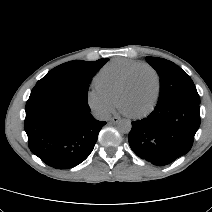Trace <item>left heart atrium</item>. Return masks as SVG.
I'll return each instance as SVG.
<instances>
[{"instance_id": "obj_1", "label": "left heart atrium", "mask_w": 212, "mask_h": 212, "mask_svg": "<svg viewBox=\"0 0 212 212\" xmlns=\"http://www.w3.org/2000/svg\"><path fill=\"white\" fill-rule=\"evenodd\" d=\"M119 111L122 113V114H126V115H129L130 113L128 112V110L124 107V106H121L119 108Z\"/></svg>"}]
</instances>
